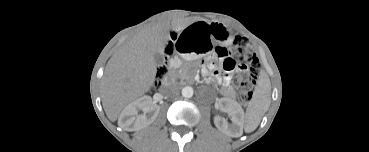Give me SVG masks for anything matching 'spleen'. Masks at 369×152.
<instances>
[{
	"label": "spleen",
	"mask_w": 369,
	"mask_h": 152,
	"mask_svg": "<svg viewBox=\"0 0 369 152\" xmlns=\"http://www.w3.org/2000/svg\"><path fill=\"white\" fill-rule=\"evenodd\" d=\"M270 82L267 77H262L259 86L254 93L247 110L246 128L255 129L261 121L262 116L268 110L270 105Z\"/></svg>",
	"instance_id": "obj_1"
}]
</instances>
